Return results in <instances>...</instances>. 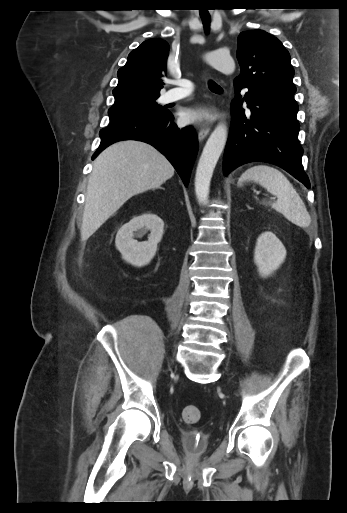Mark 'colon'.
<instances>
[{"mask_svg":"<svg viewBox=\"0 0 347 513\" xmlns=\"http://www.w3.org/2000/svg\"><path fill=\"white\" fill-rule=\"evenodd\" d=\"M200 409L195 405H186L182 409V418L188 424H194L200 420Z\"/></svg>","mask_w":347,"mask_h":513,"instance_id":"colon-1","label":"colon"}]
</instances>
